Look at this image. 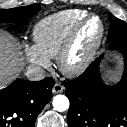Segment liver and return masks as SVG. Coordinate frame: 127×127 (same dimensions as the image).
Masks as SVG:
<instances>
[{"label":"liver","mask_w":127,"mask_h":127,"mask_svg":"<svg viewBox=\"0 0 127 127\" xmlns=\"http://www.w3.org/2000/svg\"><path fill=\"white\" fill-rule=\"evenodd\" d=\"M23 58L14 38L0 30V89L19 75Z\"/></svg>","instance_id":"6515ba94"}]
</instances>
